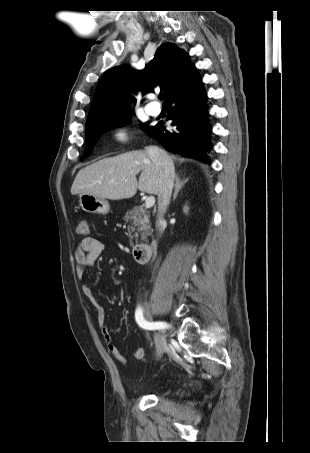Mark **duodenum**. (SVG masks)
Segmentation results:
<instances>
[{
	"instance_id": "1",
	"label": "duodenum",
	"mask_w": 310,
	"mask_h": 453,
	"mask_svg": "<svg viewBox=\"0 0 310 453\" xmlns=\"http://www.w3.org/2000/svg\"><path fill=\"white\" fill-rule=\"evenodd\" d=\"M133 256L138 263H146L152 256V246L147 243L137 244L133 248Z\"/></svg>"
}]
</instances>
